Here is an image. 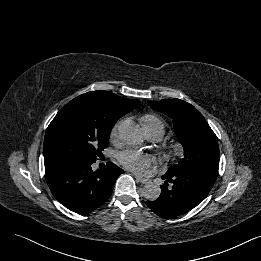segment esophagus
<instances>
[{"mask_svg":"<svg viewBox=\"0 0 261 261\" xmlns=\"http://www.w3.org/2000/svg\"><path fill=\"white\" fill-rule=\"evenodd\" d=\"M135 178H136V181L141 183V184L150 183V179H148V178H144V177H141V176H135Z\"/></svg>","mask_w":261,"mask_h":261,"instance_id":"34e87169","label":"esophagus"}]
</instances>
